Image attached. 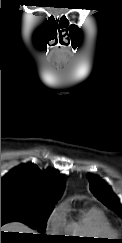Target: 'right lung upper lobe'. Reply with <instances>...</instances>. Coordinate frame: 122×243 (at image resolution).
<instances>
[{"instance_id":"1","label":"right lung upper lobe","mask_w":122,"mask_h":243,"mask_svg":"<svg viewBox=\"0 0 122 243\" xmlns=\"http://www.w3.org/2000/svg\"><path fill=\"white\" fill-rule=\"evenodd\" d=\"M63 176L53 168L41 171L35 164H22L1 180V197H16L30 202L54 205L64 189Z\"/></svg>"}]
</instances>
